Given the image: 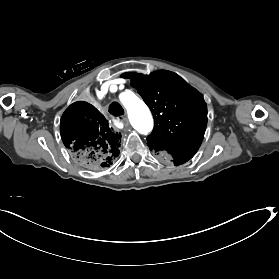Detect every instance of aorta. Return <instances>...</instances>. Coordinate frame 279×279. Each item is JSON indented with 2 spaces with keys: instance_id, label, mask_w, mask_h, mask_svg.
I'll return each instance as SVG.
<instances>
[{
  "instance_id": "obj_1",
  "label": "aorta",
  "mask_w": 279,
  "mask_h": 279,
  "mask_svg": "<svg viewBox=\"0 0 279 279\" xmlns=\"http://www.w3.org/2000/svg\"><path fill=\"white\" fill-rule=\"evenodd\" d=\"M127 109L128 118L133 126L141 134H147L153 129V118L148 106L132 92H124L119 97Z\"/></svg>"
}]
</instances>
